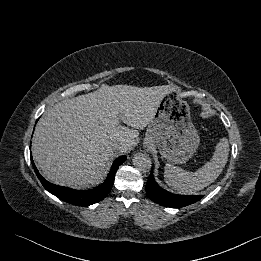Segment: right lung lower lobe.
<instances>
[{
  "label": "right lung lower lobe",
  "instance_id": "right-lung-lower-lobe-1",
  "mask_svg": "<svg viewBox=\"0 0 261 261\" xmlns=\"http://www.w3.org/2000/svg\"><path fill=\"white\" fill-rule=\"evenodd\" d=\"M125 160H126V156L124 155L117 158L114 161L107 179L100 186L91 190L78 191L66 187L57 186L45 180L38 172L31 156V162L35 170V173L38 176L44 188L50 193H52L53 195L57 196L59 199L78 206H89L91 204L97 203L102 199H104L108 195V193L110 192L113 186L115 173L118 167Z\"/></svg>",
  "mask_w": 261,
  "mask_h": 261
}]
</instances>
